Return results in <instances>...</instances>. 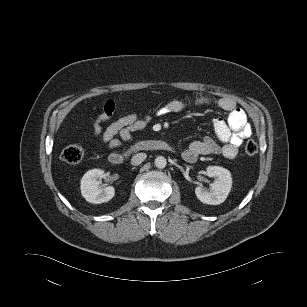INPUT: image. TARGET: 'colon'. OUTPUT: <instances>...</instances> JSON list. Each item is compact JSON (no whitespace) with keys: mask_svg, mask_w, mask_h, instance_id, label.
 <instances>
[{"mask_svg":"<svg viewBox=\"0 0 307 307\" xmlns=\"http://www.w3.org/2000/svg\"><path fill=\"white\" fill-rule=\"evenodd\" d=\"M258 152V145L254 140H249L244 146V153L247 156H254ZM84 155V151L79 145H69L61 152V159L68 164L79 163Z\"/></svg>","mask_w":307,"mask_h":307,"instance_id":"1","label":"colon"}]
</instances>
